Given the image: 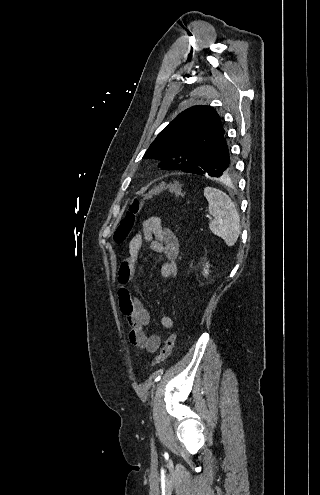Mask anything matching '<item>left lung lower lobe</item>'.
I'll list each match as a JSON object with an SVG mask.
<instances>
[{"mask_svg": "<svg viewBox=\"0 0 320 495\" xmlns=\"http://www.w3.org/2000/svg\"><path fill=\"white\" fill-rule=\"evenodd\" d=\"M235 170V162L232 158L225 138V133L208 149L199 160L183 172L201 176L226 178Z\"/></svg>", "mask_w": 320, "mask_h": 495, "instance_id": "left-lung-lower-lobe-1", "label": "left lung lower lobe"}]
</instances>
